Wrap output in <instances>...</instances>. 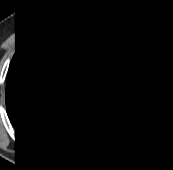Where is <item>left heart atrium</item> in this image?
<instances>
[{
	"label": "left heart atrium",
	"mask_w": 173,
	"mask_h": 170,
	"mask_svg": "<svg viewBox=\"0 0 173 170\" xmlns=\"http://www.w3.org/2000/svg\"><path fill=\"white\" fill-rule=\"evenodd\" d=\"M107 98H108V93L106 91L91 90L83 94L84 102L90 106L99 105Z\"/></svg>",
	"instance_id": "39dd6f15"
}]
</instances>
